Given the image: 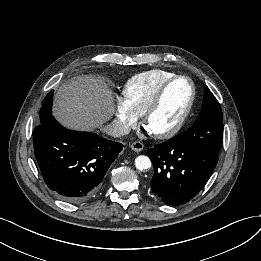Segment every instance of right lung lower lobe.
<instances>
[{
	"label": "right lung lower lobe",
	"instance_id": "1",
	"mask_svg": "<svg viewBox=\"0 0 261 261\" xmlns=\"http://www.w3.org/2000/svg\"><path fill=\"white\" fill-rule=\"evenodd\" d=\"M33 138L45 183L58 197L72 203L84 202L97 193L123 149L121 143L94 133L68 130L52 115L34 129Z\"/></svg>",
	"mask_w": 261,
	"mask_h": 261
}]
</instances>
